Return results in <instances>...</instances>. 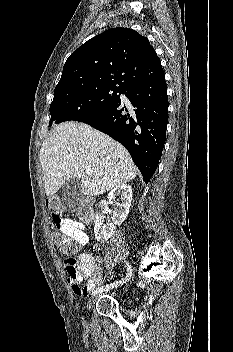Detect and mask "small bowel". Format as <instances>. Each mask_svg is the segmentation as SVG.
I'll list each match as a JSON object with an SVG mask.
<instances>
[{
  "mask_svg": "<svg viewBox=\"0 0 233 352\" xmlns=\"http://www.w3.org/2000/svg\"><path fill=\"white\" fill-rule=\"evenodd\" d=\"M56 227L67 237L77 242L80 246H86L89 237L86 233L85 225L69 218H60L53 213L51 215ZM101 259L95 258L91 253L83 252L77 258H67L64 266L67 272V283L75 296L83 298L101 283L102 274L99 267ZM92 271L86 272L87 269ZM86 282L81 285V282Z\"/></svg>",
  "mask_w": 233,
  "mask_h": 352,
  "instance_id": "c3829d8e",
  "label": "small bowel"
}]
</instances>
